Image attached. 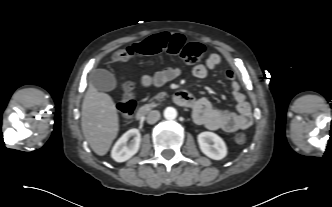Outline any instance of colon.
<instances>
[{
	"label": "colon",
	"instance_id": "colon-1",
	"mask_svg": "<svg viewBox=\"0 0 332 207\" xmlns=\"http://www.w3.org/2000/svg\"><path fill=\"white\" fill-rule=\"evenodd\" d=\"M162 51L179 56L187 64H195L205 54V48L202 44L188 42L181 34L160 33L142 42L121 47L114 53V59L124 61L135 55H153ZM120 97L122 119L125 123H128L136 109L131 81L127 80L124 83ZM245 140L246 136L243 133H238L235 136V141L238 144H243Z\"/></svg>",
	"mask_w": 332,
	"mask_h": 207
}]
</instances>
